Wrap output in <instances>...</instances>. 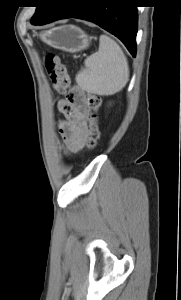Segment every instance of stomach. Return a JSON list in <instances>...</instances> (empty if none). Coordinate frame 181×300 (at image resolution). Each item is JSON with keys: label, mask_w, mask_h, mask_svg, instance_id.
Segmentation results:
<instances>
[{"label": "stomach", "mask_w": 181, "mask_h": 300, "mask_svg": "<svg viewBox=\"0 0 181 300\" xmlns=\"http://www.w3.org/2000/svg\"><path fill=\"white\" fill-rule=\"evenodd\" d=\"M40 38L49 46L69 53L85 50L91 41L83 30L74 25L54 27L42 32Z\"/></svg>", "instance_id": "1"}]
</instances>
